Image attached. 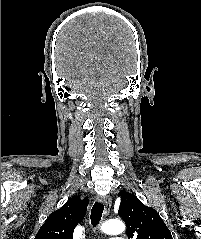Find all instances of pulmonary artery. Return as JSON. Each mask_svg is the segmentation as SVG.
I'll list each match as a JSON object with an SVG mask.
<instances>
[{
    "label": "pulmonary artery",
    "instance_id": "1",
    "mask_svg": "<svg viewBox=\"0 0 201 239\" xmlns=\"http://www.w3.org/2000/svg\"><path fill=\"white\" fill-rule=\"evenodd\" d=\"M110 239H125V238L122 237V236H115V237H112V238H110Z\"/></svg>",
    "mask_w": 201,
    "mask_h": 239
}]
</instances>
